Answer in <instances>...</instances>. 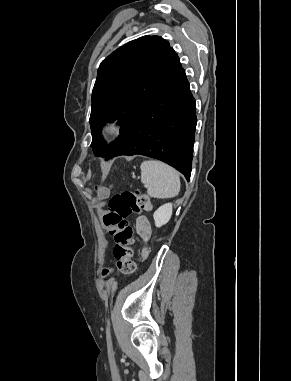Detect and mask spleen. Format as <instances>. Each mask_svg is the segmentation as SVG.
<instances>
[{
  "mask_svg": "<svg viewBox=\"0 0 291 381\" xmlns=\"http://www.w3.org/2000/svg\"><path fill=\"white\" fill-rule=\"evenodd\" d=\"M140 169L141 182L147 188L150 197L165 199L178 195L180 178L175 169L156 160L143 161Z\"/></svg>",
  "mask_w": 291,
  "mask_h": 381,
  "instance_id": "1",
  "label": "spleen"
}]
</instances>
